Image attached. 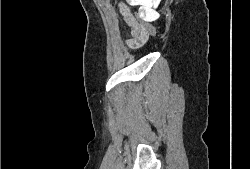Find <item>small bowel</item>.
I'll list each match as a JSON object with an SVG mask.
<instances>
[{
	"label": "small bowel",
	"mask_w": 250,
	"mask_h": 169,
	"mask_svg": "<svg viewBox=\"0 0 250 169\" xmlns=\"http://www.w3.org/2000/svg\"><path fill=\"white\" fill-rule=\"evenodd\" d=\"M123 14L125 16L126 22L129 24V26L132 29V34L136 37V40H131L129 45L132 48H136L141 44L137 42V39L140 36V30L142 26L129 13H126L123 11Z\"/></svg>",
	"instance_id": "small-bowel-1"
}]
</instances>
